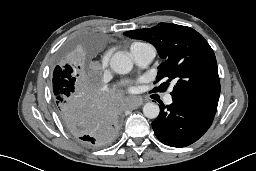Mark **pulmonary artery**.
Wrapping results in <instances>:
<instances>
[{"mask_svg":"<svg viewBox=\"0 0 256 171\" xmlns=\"http://www.w3.org/2000/svg\"><path fill=\"white\" fill-rule=\"evenodd\" d=\"M155 49L149 44L137 46L131 50V55L134 62L140 67L149 65L155 57ZM166 104L172 103L171 94H167L164 99Z\"/></svg>","mask_w":256,"mask_h":171,"instance_id":"e3ab8cb5","label":"pulmonary artery"}]
</instances>
